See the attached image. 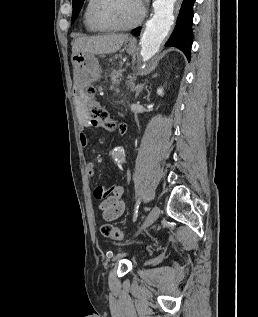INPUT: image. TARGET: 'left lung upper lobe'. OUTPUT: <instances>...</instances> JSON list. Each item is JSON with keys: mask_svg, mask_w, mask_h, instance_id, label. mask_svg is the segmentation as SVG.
I'll return each mask as SVG.
<instances>
[{"mask_svg": "<svg viewBox=\"0 0 258 317\" xmlns=\"http://www.w3.org/2000/svg\"><path fill=\"white\" fill-rule=\"evenodd\" d=\"M84 0H73V13H72V23L75 21V19L78 16V13L80 12V9L83 5Z\"/></svg>", "mask_w": 258, "mask_h": 317, "instance_id": "5c2ea615", "label": "left lung upper lobe"}]
</instances>
